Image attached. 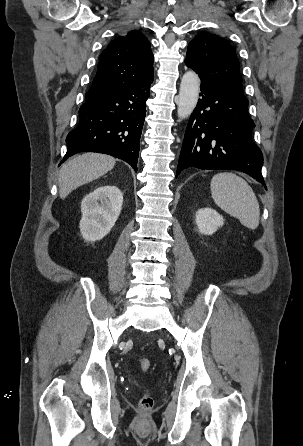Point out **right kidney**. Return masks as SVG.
<instances>
[{"label":"right kidney","mask_w":303,"mask_h":446,"mask_svg":"<svg viewBox=\"0 0 303 446\" xmlns=\"http://www.w3.org/2000/svg\"><path fill=\"white\" fill-rule=\"evenodd\" d=\"M123 193L116 186L105 185L85 196L81 203L80 232L87 242L103 239L117 221Z\"/></svg>","instance_id":"1"}]
</instances>
